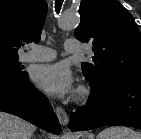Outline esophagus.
Masks as SVG:
<instances>
[{
	"mask_svg": "<svg viewBox=\"0 0 141 139\" xmlns=\"http://www.w3.org/2000/svg\"><path fill=\"white\" fill-rule=\"evenodd\" d=\"M55 112H56V115L58 117L60 124L63 127H66L68 124V115L66 111L61 106H57L55 109Z\"/></svg>",
	"mask_w": 141,
	"mask_h": 139,
	"instance_id": "esophagus-1",
	"label": "esophagus"
}]
</instances>
